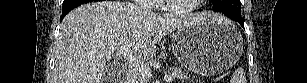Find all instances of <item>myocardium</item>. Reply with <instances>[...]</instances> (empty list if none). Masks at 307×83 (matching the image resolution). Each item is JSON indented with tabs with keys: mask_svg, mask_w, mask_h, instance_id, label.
<instances>
[{
	"mask_svg": "<svg viewBox=\"0 0 307 83\" xmlns=\"http://www.w3.org/2000/svg\"><path fill=\"white\" fill-rule=\"evenodd\" d=\"M203 0H195V2L190 5L173 6L170 4L169 0L160 2V9L168 14L172 15H183L193 12Z\"/></svg>",
	"mask_w": 307,
	"mask_h": 83,
	"instance_id": "f54148a6",
	"label": "myocardium"
}]
</instances>
